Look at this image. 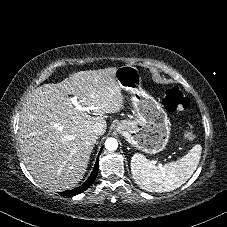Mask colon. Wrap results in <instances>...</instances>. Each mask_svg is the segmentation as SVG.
<instances>
[{
	"label": "colon",
	"instance_id": "obj_1",
	"mask_svg": "<svg viewBox=\"0 0 227 227\" xmlns=\"http://www.w3.org/2000/svg\"><path fill=\"white\" fill-rule=\"evenodd\" d=\"M163 102L166 109L170 112L188 111L190 106L188 98L176 87L170 88L165 92ZM184 137L187 140H192L194 138L193 129L188 128L184 133Z\"/></svg>",
	"mask_w": 227,
	"mask_h": 227
}]
</instances>
